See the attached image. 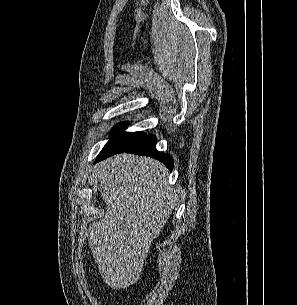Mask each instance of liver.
<instances>
[{
  "label": "liver",
  "mask_w": 297,
  "mask_h": 305,
  "mask_svg": "<svg viewBox=\"0 0 297 305\" xmlns=\"http://www.w3.org/2000/svg\"><path fill=\"white\" fill-rule=\"evenodd\" d=\"M96 175L107 207L87 232L89 247L103 281L125 289L139 280L176 193L167 183L166 167L146 156L115 155L98 164Z\"/></svg>",
  "instance_id": "liver-1"
}]
</instances>
